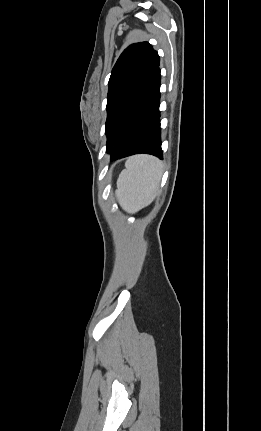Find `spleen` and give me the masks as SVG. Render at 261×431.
Here are the masks:
<instances>
[{"mask_svg":"<svg viewBox=\"0 0 261 431\" xmlns=\"http://www.w3.org/2000/svg\"><path fill=\"white\" fill-rule=\"evenodd\" d=\"M117 180L116 196L130 213L148 206L155 198L162 176V163L148 155L127 159Z\"/></svg>","mask_w":261,"mask_h":431,"instance_id":"3e777b00","label":"spleen"}]
</instances>
